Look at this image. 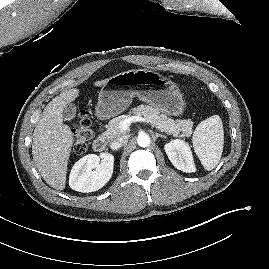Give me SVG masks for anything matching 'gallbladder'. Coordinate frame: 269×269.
Returning <instances> with one entry per match:
<instances>
[{"label": "gallbladder", "mask_w": 269, "mask_h": 269, "mask_svg": "<svg viewBox=\"0 0 269 269\" xmlns=\"http://www.w3.org/2000/svg\"><path fill=\"white\" fill-rule=\"evenodd\" d=\"M77 115L76 106L72 103L67 104V106L63 109L62 117L65 121H71Z\"/></svg>", "instance_id": "gallbladder-1"}]
</instances>
